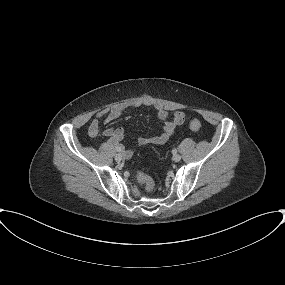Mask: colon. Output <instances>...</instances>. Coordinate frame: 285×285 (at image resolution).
I'll return each instance as SVG.
<instances>
[{
  "mask_svg": "<svg viewBox=\"0 0 285 285\" xmlns=\"http://www.w3.org/2000/svg\"><path fill=\"white\" fill-rule=\"evenodd\" d=\"M189 127L195 131V132H198L201 130V123L194 119V120H191L190 123H189ZM136 178L137 180L141 183V184H144L149 190H151L154 186V183H153V180L151 177H149L148 175H146L145 173L143 172H139L137 171L136 172Z\"/></svg>",
  "mask_w": 285,
  "mask_h": 285,
  "instance_id": "1",
  "label": "colon"
}]
</instances>
